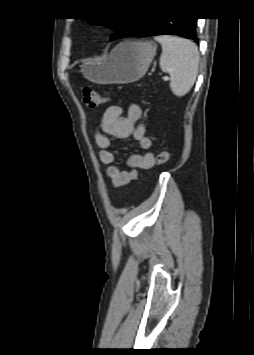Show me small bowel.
<instances>
[{
	"label": "small bowel",
	"instance_id": "obj_1",
	"mask_svg": "<svg viewBox=\"0 0 254 355\" xmlns=\"http://www.w3.org/2000/svg\"><path fill=\"white\" fill-rule=\"evenodd\" d=\"M142 117V109L137 104H131L124 115L119 105L108 107L101 120L102 133L95 135L100 148L99 158L107 165L106 174L114 187H121L137 179L140 170H148L155 164V155L150 151L151 139L146 134L144 124H138ZM133 137L139 143L142 153L129 157L127 164L129 170H123L116 164L114 149L115 140Z\"/></svg>",
	"mask_w": 254,
	"mask_h": 355
}]
</instances>
